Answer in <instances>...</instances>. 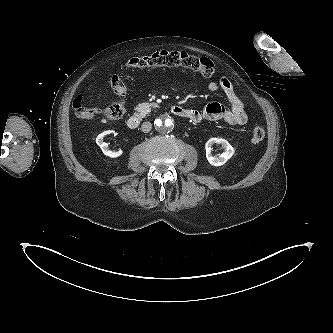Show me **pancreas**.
<instances>
[{"instance_id": "obj_1", "label": "pancreas", "mask_w": 333, "mask_h": 333, "mask_svg": "<svg viewBox=\"0 0 333 333\" xmlns=\"http://www.w3.org/2000/svg\"><path fill=\"white\" fill-rule=\"evenodd\" d=\"M157 107V103H140L137 105L135 110L139 112V114L144 117L151 111V108Z\"/></svg>"}]
</instances>
